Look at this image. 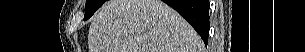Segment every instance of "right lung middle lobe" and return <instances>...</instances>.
Masks as SVG:
<instances>
[{
  "label": "right lung middle lobe",
  "mask_w": 305,
  "mask_h": 52,
  "mask_svg": "<svg viewBox=\"0 0 305 52\" xmlns=\"http://www.w3.org/2000/svg\"><path fill=\"white\" fill-rule=\"evenodd\" d=\"M106 0H87L85 5L84 20L89 19L105 2Z\"/></svg>",
  "instance_id": "1"
}]
</instances>
